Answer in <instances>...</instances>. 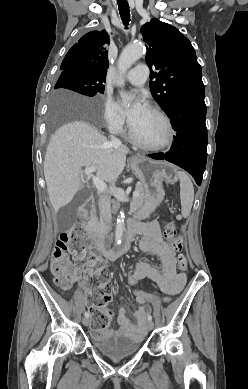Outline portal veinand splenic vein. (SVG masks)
<instances>
[{
	"label": "portal vein and splenic vein",
	"mask_w": 248,
	"mask_h": 389,
	"mask_svg": "<svg viewBox=\"0 0 248 389\" xmlns=\"http://www.w3.org/2000/svg\"><path fill=\"white\" fill-rule=\"evenodd\" d=\"M95 171H96V166H89V167H86L84 170V172L87 176L92 177L93 183L96 186L97 190L99 192H105L107 190V185L98 176L93 175V172H95ZM133 196H138V192L134 191Z\"/></svg>",
	"instance_id": "18ae733b"
}]
</instances>
